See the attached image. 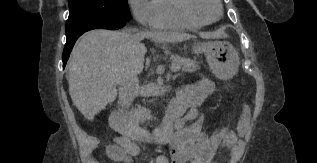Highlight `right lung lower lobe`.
<instances>
[{"label":"right lung lower lobe","instance_id":"98d812e1","mask_svg":"<svg viewBox=\"0 0 317 163\" xmlns=\"http://www.w3.org/2000/svg\"><path fill=\"white\" fill-rule=\"evenodd\" d=\"M124 25H125V21L103 20V21H98L89 26H86L84 28H81L69 35H66L67 40L64 47V51H63V68L65 67L67 63L70 52L74 46V43L84 32L92 30V29H98V28L116 30V29L122 28Z\"/></svg>","mask_w":317,"mask_h":163}]
</instances>
